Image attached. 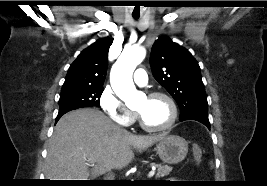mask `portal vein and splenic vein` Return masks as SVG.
Instances as JSON below:
<instances>
[{
	"label": "portal vein and splenic vein",
	"mask_w": 267,
	"mask_h": 186,
	"mask_svg": "<svg viewBox=\"0 0 267 186\" xmlns=\"http://www.w3.org/2000/svg\"><path fill=\"white\" fill-rule=\"evenodd\" d=\"M89 161H91V159H89ZM154 174H155V171H154V170H151V171H149V173H148V177L151 178V177L154 176Z\"/></svg>",
	"instance_id": "18ae733b"
}]
</instances>
